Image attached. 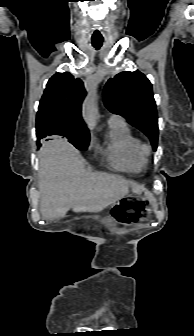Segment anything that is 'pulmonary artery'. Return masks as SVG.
Segmentation results:
<instances>
[{
    "label": "pulmonary artery",
    "instance_id": "pulmonary-artery-1",
    "mask_svg": "<svg viewBox=\"0 0 194 336\" xmlns=\"http://www.w3.org/2000/svg\"><path fill=\"white\" fill-rule=\"evenodd\" d=\"M123 122H124V120L120 116H118V115H111L108 118V124H109V126L118 125V124H121Z\"/></svg>",
    "mask_w": 194,
    "mask_h": 336
}]
</instances>
